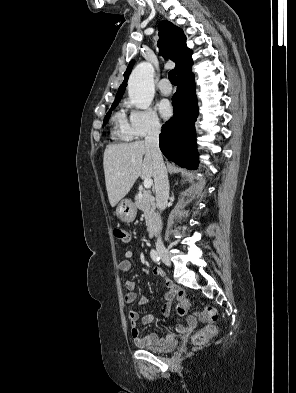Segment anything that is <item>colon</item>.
<instances>
[{"label":"colon","mask_w":296,"mask_h":393,"mask_svg":"<svg viewBox=\"0 0 296 393\" xmlns=\"http://www.w3.org/2000/svg\"><path fill=\"white\" fill-rule=\"evenodd\" d=\"M114 236L118 240L125 243L130 241L129 232L120 227H116L114 229ZM189 307L190 303L187 300H178L177 310L179 314H186ZM196 316L206 322H215L218 319V313L216 309L212 306L204 307L200 312L196 313ZM216 332V327L213 325H209L193 335L192 343L195 346H203L216 334Z\"/></svg>","instance_id":"1"}]
</instances>
